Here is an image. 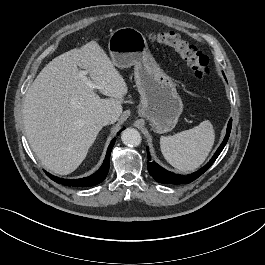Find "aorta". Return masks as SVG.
<instances>
[{
    "label": "aorta",
    "mask_w": 265,
    "mask_h": 265,
    "mask_svg": "<svg viewBox=\"0 0 265 265\" xmlns=\"http://www.w3.org/2000/svg\"><path fill=\"white\" fill-rule=\"evenodd\" d=\"M122 142L131 147L138 146L141 143V135L134 128H127L121 134Z\"/></svg>",
    "instance_id": "762f6f07"
}]
</instances>
